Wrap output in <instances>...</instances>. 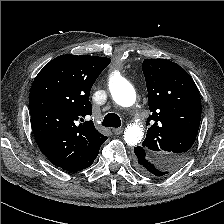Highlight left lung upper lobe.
<instances>
[{"label":"left lung upper lobe","mask_w":224,"mask_h":224,"mask_svg":"<svg viewBox=\"0 0 224 224\" xmlns=\"http://www.w3.org/2000/svg\"><path fill=\"white\" fill-rule=\"evenodd\" d=\"M143 73L148 90L151 125L142 148L162 173L176 171L195 142L201 120V99L192 78L166 59H145Z\"/></svg>","instance_id":"left-lung-upper-lobe-1"}]
</instances>
